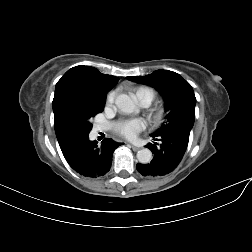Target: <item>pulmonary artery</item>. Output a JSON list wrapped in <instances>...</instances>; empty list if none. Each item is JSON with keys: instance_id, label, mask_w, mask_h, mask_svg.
Masks as SVG:
<instances>
[{"instance_id": "1", "label": "pulmonary artery", "mask_w": 252, "mask_h": 252, "mask_svg": "<svg viewBox=\"0 0 252 252\" xmlns=\"http://www.w3.org/2000/svg\"><path fill=\"white\" fill-rule=\"evenodd\" d=\"M99 130H100V128H96V129H95V133H97Z\"/></svg>"}]
</instances>
